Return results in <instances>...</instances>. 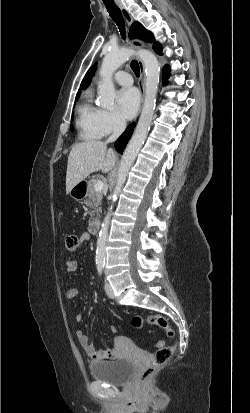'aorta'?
Wrapping results in <instances>:
<instances>
[{
  "label": "aorta",
  "mask_w": 250,
  "mask_h": 413,
  "mask_svg": "<svg viewBox=\"0 0 250 413\" xmlns=\"http://www.w3.org/2000/svg\"><path fill=\"white\" fill-rule=\"evenodd\" d=\"M132 55H137L143 62L145 68V100L135 132L121 158L116 186L111 195L112 203H115V201L117 200L118 195L126 181L128 172L147 137L155 110L156 95L160 77V66L156 56L152 52L144 49L138 51H135L133 49L110 51L104 57L100 69V76L102 78V81L99 85V104L102 107L107 109L113 107L115 98V88L112 80L113 73ZM112 210L113 204L109 208V211L104 218L97 239L96 263L98 265H103L105 263V245L108 235L109 223L112 216Z\"/></svg>",
  "instance_id": "1"
}]
</instances>
